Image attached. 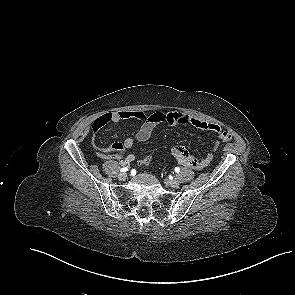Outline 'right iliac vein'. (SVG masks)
<instances>
[{
	"mask_svg": "<svg viewBox=\"0 0 295 295\" xmlns=\"http://www.w3.org/2000/svg\"><path fill=\"white\" fill-rule=\"evenodd\" d=\"M119 180H125L127 178V174L126 173H120L118 175Z\"/></svg>",
	"mask_w": 295,
	"mask_h": 295,
	"instance_id": "obj_1",
	"label": "right iliac vein"
}]
</instances>
